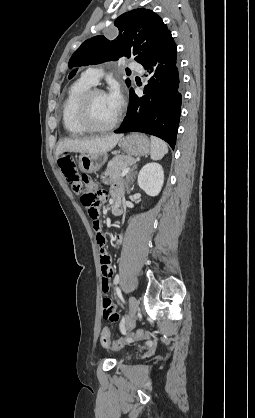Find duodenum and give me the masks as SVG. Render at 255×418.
<instances>
[{
  "label": "duodenum",
  "instance_id": "410a0bca",
  "mask_svg": "<svg viewBox=\"0 0 255 418\" xmlns=\"http://www.w3.org/2000/svg\"><path fill=\"white\" fill-rule=\"evenodd\" d=\"M119 213V211H115V214H118Z\"/></svg>",
  "mask_w": 255,
  "mask_h": 418
}]
</instances>
